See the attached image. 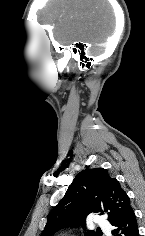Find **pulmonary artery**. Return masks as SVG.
I'll use <instances>...</instances> for the list:
<instances>
[{
	"instance_id": "1",
	"label": "pulmonary artery",
	"mask_w": 145,
	"mask_h": 236,
	"mask_svg": "<svg viewBox=\"0 0 145 236\" xmlns=\"http://www.w3.org/2000/svg\"><path fill=\"white\" fill-rule=\"evenodd\" d=\"M94 224L100 226L101 228H103V230L109 234L110 233V228L107 226L106 220L102 217V216H96L94 218Z\"/></svg>"
}]
</instances>
